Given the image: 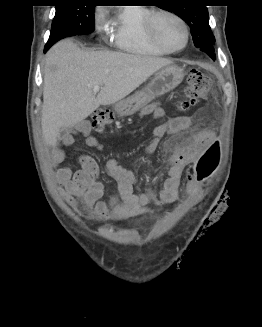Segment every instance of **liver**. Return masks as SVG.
Here are the masks:
<instances>
[{"label":"liver","mask_w":262,"mask_h":327,"mask_svg":"<svg viewBox=\"0 0 262 327\" xmlns=\"http://www.w3.org/2000/svg\"><path fill=\"white\" fill-rule=\"evenodd\" d=\"M170 59L113 51H83L71 40L47 53L41 127L44 141L55 146L61 130L78 124L100 105L114 104L145 82ZM101 86L96 93L93 86Z\"/></svg>","instance_id":"obj_1"}]
</instances>
